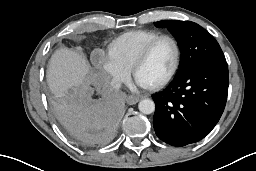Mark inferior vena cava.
Wrapping results in <instances>:
<instances>
[{"label":"inferior vena cava","instance_id":"inferior-vena-cava-1","mask_svg":"<svg viewBox=\"0 0 256 171\" xmlns=\"http://www.w3.org/2000/svg\"><path fill=\"white\" fill-rule=\"evenodd\" d=\"M110 85L114 89H119L121 87V82L117 79H112V81L110 82Z\"/></svg>","mask_w":256,"mask_h":171}]
</instances>
